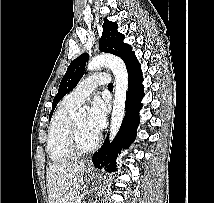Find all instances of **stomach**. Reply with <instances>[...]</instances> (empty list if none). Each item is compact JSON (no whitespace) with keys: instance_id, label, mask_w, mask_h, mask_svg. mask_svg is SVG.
<instances>
[{"instance_id":"stomach-1","label":"stomach","mask_w":214,"mask_h":203,"mask_svg":"<svg viewBox=\"0 0 214 203\" xmlns=\"http://www.w3.org/2000/svg\"><path fill=\"white\" fill-rule=\"evenodd\" d=\"M86 174H87L88 176H92V175H93V170L87 169V170H86Z\"/></svg>"}]
</instances>
